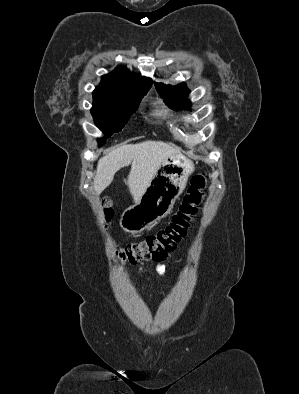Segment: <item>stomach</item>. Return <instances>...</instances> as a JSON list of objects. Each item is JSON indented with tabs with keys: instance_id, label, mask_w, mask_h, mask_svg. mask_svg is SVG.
<instances>
[{
	"instance_id": "stomach-1",
	"label": "stomach",
	"mask_w": 299,
	"mask_h": 394,
	"mask_svg": "<svg viewBox=\"0 0 299 394\" xmlns=\"http://www.w3.org/2000/svg\"><path fill=\"white\" fill-rule=\"evenodd\" d=\"M193 171V162L181 154L166 158L140 201L123 212L121 227L139 233L168 215Z\"/></svg>"
}]
</instances>
